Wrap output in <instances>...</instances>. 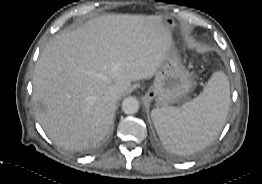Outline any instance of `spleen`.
I'll return each instance as SVG.
<instances>
[{"mask_svg":"<svg viewBox=\"0 0 262 184\" xmlns=\"http://www.w3.org/2000/svg\"><path fill=\"white\" fill-rule=\"evenodd\" d=\"M229 105V80L217 71L198 97L180 108H155L151 117L162 144L174 153L186 155L215 140L225 125Z\"/></svg>","mask_w":262,"mask_h":184,"instance_id":"1","label":"spleen"}]
</instances>
